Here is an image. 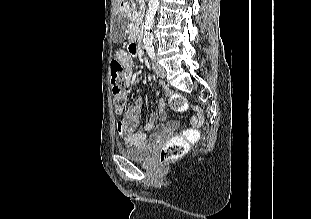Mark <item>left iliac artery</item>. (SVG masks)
I'll use <instances>...</instances> for the list:
<instances>
[{
    "instance_id": "44dca946",
    "label": "left iliac artery",
    "mask_w": 311,
    "mask_h": 219,
    "mask_svg": "<svg viewBox=\"0 0 311 219\" xmlns=\"http://www.w3.org/2000/svg\"><path fill=\"white\" fill-rule=\"evenodd\" d=\"M147 52H148V55L150 56L151 59L155 58V51H154L153 47L147 48Z\"/></svg>"
}]
</instances>
